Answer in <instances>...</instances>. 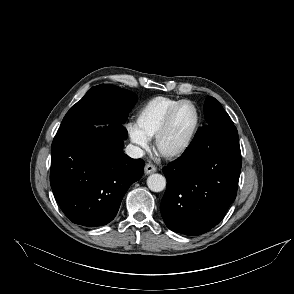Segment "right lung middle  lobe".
Listing matches in <instances>:
<instances>
[{"mask_svg": "<svg viewBox=\"0 0 294 294\" xmlns=\"http://www.w3.org/2000/svg\"><path fill=\"white\" fill-rule=\"evenodd\" d=\"M110 87L117 93L114 103L111 105L99 104L87 92L67 112L57 133L94 124L125 123L129 112L137 101V96L129 90L114 85Z\"/></svg>", "mask_w": 294, "mask_h": 294, "instance_id": "obj_1", "label": "right lung middle lobe"}]
</instances>
